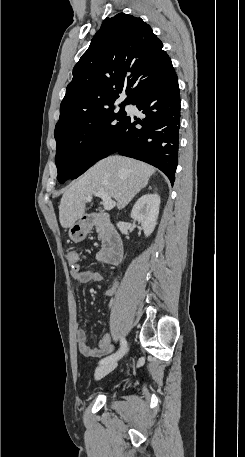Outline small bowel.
Segmentation results:
<instances>
[{"label":"small bowel","mask_w":245,"mask_h":457,"mask_svg":"<svg viewBox=\"0 0 245 457\" xmlns=\"http://www.w3.org/2000/svg\"><path fill=\"white\" fill-rule=\"evenodd\" d=\"M72 278L79 283H88V282H99L102 280V274L95 269L80 270L72 269L71 270ZM118 288V283L114 282L110 290L105 293L106 297H111L115 294ZM76 343L79 352L86 357L98 358L104 355L110 354L115 348V344L112 340L111 334L107 333L104 338L99 342L97 347H90L87 344V335L86 332L78 328L75 332Z\"/></svg>","instance_id":"c3829d8e"}]
</instances>
